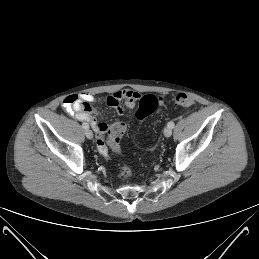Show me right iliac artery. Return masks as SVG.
<instances>
[{
	"instance_id": "1",
	"label": "right iliac artery",
	"mask_w": 259,
	"mask_h": 259,
	"mask_svg": "<svg viewBox=\"0 0 259 259\" xmlns=\"http://www.w3.org/2000/svg\"><path fill=\"white\" fill-rule=\"evenodd\" d=\"M82 127H83L84 129H88V128H89V125L84 122V123L82 124Z\"/></svg>"
}]
</instances>
